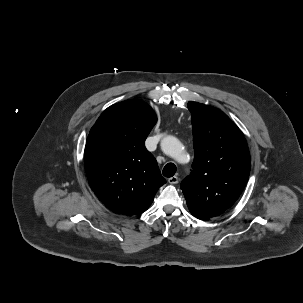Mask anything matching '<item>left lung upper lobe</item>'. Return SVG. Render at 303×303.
<instances>
[{
  "label": "left lung upper lobe",
  "instance_id": "5c2ea615",
  "mask_svg": "<svg viewBox=\"0 0 303 303\" xmlns=\"http://www.w3.org/2000/svg\"><path fill=\"white\" fill-rule=\"evenodd\" d=\"M192 114V172L181 183L191 213L217 217L241 195L250 173L247 143L235 123L222 111L189 102Z\"/></svg>",
  "mask_w": 303,
  "mask_h": 303
}]
</instances>
